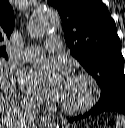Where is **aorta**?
<instances>
[{"label":"aorta","mask_w":125,"mask_h":128,"mask_svg":"<svg viewBox=\"0 0 125 128\" xmlns=\"http://www.w3.org/2000/svg\"><path fill=\"white\" fill-rule=\"evenodd\" d=\"M59 15L51 7L40 8L29 24V32L33 37L40 38L57 29ZM49 128V126H48ZM52 128V127H50Z\"/></svg>","instance_id":"762f6f07"}]
</instances>
